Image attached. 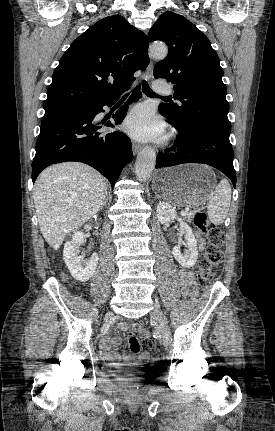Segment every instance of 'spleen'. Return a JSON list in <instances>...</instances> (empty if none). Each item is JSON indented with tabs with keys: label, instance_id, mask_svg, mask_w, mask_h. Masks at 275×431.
<instances>
[{
	"label": "spleen",
	"instance_id": "3e777b00",
	"mask_svg": "<svg viewBox=\"0 0 275 431\" xmlns=\"http://www.w3.org/2000/svg\"><path fill=\"white\" fill-rule=\"evenodd\" d=\"M213 195L208 205V216L213 224L220 225L226 219L231 203V187L229 182L226 179H222L216 186Z\"/></svg>",
	"mask_w": 275,
	"mask_h": 431
}]
</instances>
